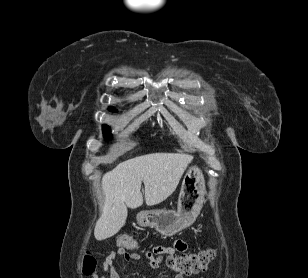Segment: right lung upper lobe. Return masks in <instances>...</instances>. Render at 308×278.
Wrapping results in <instances>:
<instances>
[{
  "label": "right lung upper lobe",
  "mask_w": 308,
  "mask_h": 278,
  "mask_svg": "<svg viewBox=\"0 0 308 278\" xmlns=\"http://www.w3.org/2000/svg\"><path fill=\"white\" fill-rule=\"evenodd\" d=\"M110 110H111V111H116V110H115L114 108H112V107H110Z\"/></svg>",
  "instance_id": "cb5924a9"
}]
</instances>
